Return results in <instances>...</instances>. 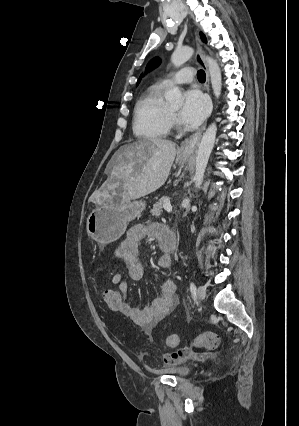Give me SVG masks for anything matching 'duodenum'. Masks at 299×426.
I'll list each match as a JSON object with an SVG mask.
<instances>
[{"label":"duodenum","mask_w":299,"mask_h":426,"mask_svg":"<svg viewBox=\"0 0 299 426\" xmlns=\"http://www.w3.org/2000/svg\"><path fill=\"white\" fill-rule=\"evenodd\" d=\"M160 248L168 255L172 254L176 248V236L173 231L164 227L160 238Z\"/></svg>","instance_id":"duodenum-1"}]
</instances>
